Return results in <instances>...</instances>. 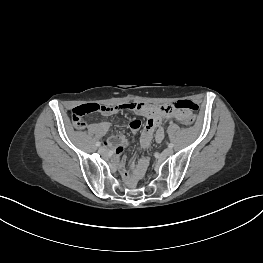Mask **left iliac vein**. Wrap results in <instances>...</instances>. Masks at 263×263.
I'll return each instance as SVG.
<instances>
[{
	"label": "left iliac vein",
	"instance_id": "4c4485c4",
	"mask_svg": "<svg viewBox=\"0 0 263 263\" xmlns=\"http://www.w3.org/2000/svg\"><path fill=\"white\" fill-rule=\"evenodd\" d=\"M173 154V150L171 148H167L163 151L162 156L167 157Z\"/></svg>",
	"mask_w": 263,
	"mask_h": 263
}]
</instances>
